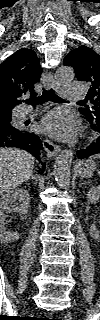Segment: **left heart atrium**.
<instances>
[{"instance_id":"obj_1","label":"left heart atrium","mask_w":100,"mask_h":320,"mask_svg":"<svg viewBox=\"0 0 100 320\" xmlns=\"http://www.w3.org/2000/svg\"><path fill=\"white\" fill-rule=\"evenodd\" d=\"M40 130L64 141L73 140L78 133L76 119L66 110L56 109L48 113L41 121Z\"/></svg>"}]
</instances>
